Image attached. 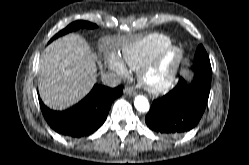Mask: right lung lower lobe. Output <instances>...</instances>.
Masks as SVG:
<instances>
[{"mask_svg":"<svg viewBox=\"0 0 249 165\" xmlns=\"http://www.w3.org/2000/svg\"><path fill=\"white\" fill-rule=\"evenodd\" d=\"M123 92V87L109 88L95 85L91 93L73 108L56 112L40 101V107L49 126L57 133L80 138L95 132L106 120L114 99Z\"/></svg>","mask_w":249,"mask_h":165,"instance_id":"98d812e1","label":"right lung lower lobe"}]
</instances>
